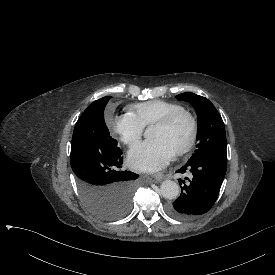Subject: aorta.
<instances>
[{"instance_id":"obj_1","label":"aorta","mask_w":275,"mask_h":275,"mask_svg":"<svg viewBox=\"0 0 275 275\" xmlns=\"http://www.w3.org/2000/svg\"><path fill=\"white\" fill-rule=\"evenodd\" d=\"M149 130L145 132V136H148ZM161 195L169 200L176 199L180 193V189L178 184L172 180H165L162 182L160 186Z\"/></svg>"}]
</instances>
